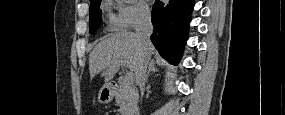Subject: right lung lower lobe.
I'll list each match as a JSON object with an SVG mask.
<instances>
[{
  "mask_svg": "<svg viewBox=\"0 0 285 115\" xmlns=\"http://www.w3.org/2000/svg\"><path fill=\"white\" fill-rule=\"evenodd\" d=\"M193 0H156L152 9L151 41L163 58L177 64L188 39Z\"/></svg>",
  "mask_w": 285,
  "mask_h": 115,
  "instance_id": "1",
  "label": "right lung lower lobe"
}]
</instances>
